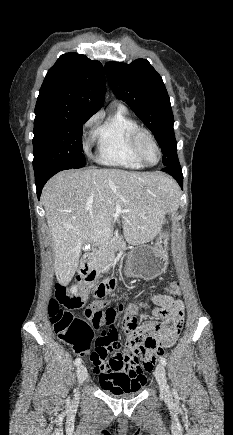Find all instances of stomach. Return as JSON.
<instances>
[{"label": "stomach", "instance_id": "obj_1", "mask_svg": "<svg viewBox=\"0 0 233 435\" xmlns=\"http://www.w3.org/2000/svg\"><path fill=\"white\" fill-rule=\"evenodd\" d=\"M155 238L152 245H140L129 252L124 270L127 277L151 280L165 273L170 232L162 229Z\"/></svg>", "mask_w": 233, "mask_h": 435}]
</instances>
